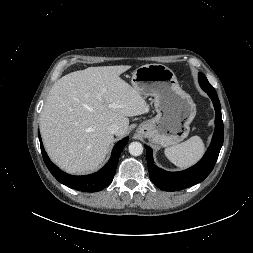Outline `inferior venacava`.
Instances as JSON below:
<instances>
[{"label":"inferior vena cava","instance_id":"1","mask_svg":"<svg viewBox=\"0 0 253 253\" xmlns=\"http://www.w3.org/2000/svg\"><path fill=\"white\" fill-rule=\"evenodd\" d=\"M108 131L111 134H117L119 132V126L117 124H112L108 127Z\"/></svg>","mask_w":253,"mask_h":253}]
</instances>
